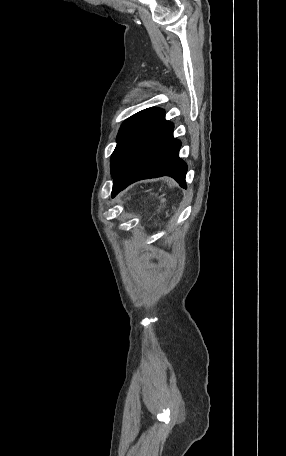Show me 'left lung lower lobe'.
<instances>
[{"instance_id":"left-lung-lower-lobe-1","label":"left lung lower lobe","mask_w":286,"mask_h":456,"mask_svg":"<svg viewBox=\"0 0 286 456\" xmlns=\"http://www.w3.org/2000/svg\"><path fill=\"white\" fill-rule=\"evenodd\" d=\"M174 125L163 113L132 143L114 175L112 197L140 179L174 178L186 188V163L179 158L181 142L173 138Z\"/></svg>"}]
</instances>
